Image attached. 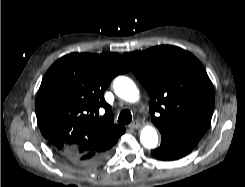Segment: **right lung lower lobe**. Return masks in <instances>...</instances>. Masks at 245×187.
I'll return each instance as SVG.
<instances>
[{
  "mask_svg": "<svg viewBox=\"0 0 245 187\" xmlns=\"http://www.w3.org/2000/svg\"><path fill=\"white\" fill-rule=\"evenodd\" d=\"M125 132V131H124ZM124 132L122 134H124ZM120 134L118 138L122 135ZM111 145L99 144L95 149L90 150L84 154H78L74 151H69L67 153H58L57 154L68 164L77 167V168H94L103 164L110 156L112 147L118 141Z\"/></svg>",
  "mask_w": 245,
  "mask_h": 187,
  "instance_id": "98d812e1",
  "label": "right lung lower lobe"
}]
</instances>
